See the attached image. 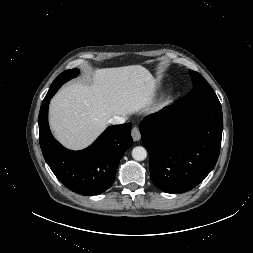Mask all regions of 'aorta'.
Segmentation results:
<instances>
[{
  "instance_id": "obj_1",
  "label": "aorta",
  "mask_w": 253,
  "mask_h": 253,
  "mask_svg": "<svg viewBox=\"0 0 253 253\" xmlns=\"http://www.w3.org/2000/svg\"><path fill=\"white\" fill-rule=\"evenodd\" d=\"M132 157L136 161H143L147 157V150L142 146L134 147L132 150Z\"/></svg>"
}]
</instances>
